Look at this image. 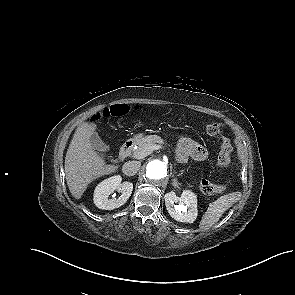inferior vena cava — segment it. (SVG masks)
<instances>
[{
  "mask_svg": "<svg viewBox=\"0 0 295 295\" xmlns=\"http://www.w3.org/2000/svg\"><path fill=\"white\" fill-rule=\"evenodd\" d=\"M140 166L139 161H128L123 165L122 171L127 176H133L139 171Z\"/></svg>",
  "mask_w": 295,
  "mask_h": 295,
  "instance_id": "1",
  "label": "inferior vena cava"
}]
</instances>
